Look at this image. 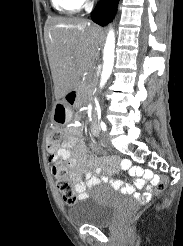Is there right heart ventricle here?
I'll list each match as a JSON object with an SVG mask.
<instances>
[{"label": "right heart ventricle", "mask_w": 183, "mask_h": 246, "mask_svg": "<svg viewBox=\"0 0 183 246\" xmlns=\"http://www.w3.org/2000/svg\"><path fill=\"white\" fill-rule=\"evenodd\" d=\"M52 7L61 14L71 15L79 11L78 0H50Z\"/></svg>", "instance_id": "e07e8e85"}]
</instances>
